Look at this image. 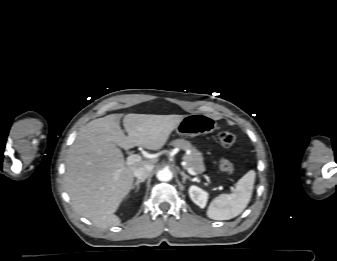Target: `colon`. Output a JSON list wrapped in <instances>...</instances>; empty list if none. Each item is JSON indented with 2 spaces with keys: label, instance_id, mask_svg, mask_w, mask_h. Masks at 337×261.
Returning a JSON list of instances; mask_svg holds the SVG:
<instances>
[{
  "label": "colon",
  "instance_id": "obj_1",
  "mask_svg": "<svg viewBox=\"0 0 337 261\" xmlns=\"http://www.w3.org/2000/svg\"><path fill=\"white\" fill-rule=\"evenodd\" d=\"M235 142V136L234 134L230 132H222L219 135V143L221 146L228 148L231 147ZM220 169L225 172L226 174H233L234 173V166L232 162H230L227 159H222L220 161Z\"/></svg>",
  "mask_w": 337,
  "mask_h": 261
}]
</instances>
